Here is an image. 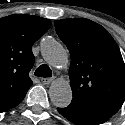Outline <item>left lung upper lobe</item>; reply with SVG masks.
Instances as JSON below:
<instances>
[{
  "instance_id": "left-lung-upper-lobe-1",
  "label": "left lung upper lobe",
  "mask_w": 125,
  "mask_h": 125,
  "mask_svg": "<svg viewBox=\"0 0 125 125\" xmlns=\"http://www.w3.org/2000/svg\"><path fill=\"white\" fill-rule=\"evenodd\" d=\"M54 23L71 55L69 77L73 99L68 107L120 109L125 101V64L109 32L85 18Z\"/></svg>"
}]
</instances>
